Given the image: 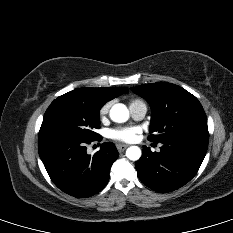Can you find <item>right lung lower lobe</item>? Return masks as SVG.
Wrapping results in <instances>:
<instances>
[{"label":"right lung lower lobe","mask_w":233,"mask_h":233,"mask_svg":"<svg viewBox=\"0 0 233 233\" xmlns=\"http://www.w3.org/2000/svg\"><path fill=\"white\" fill-rule=\"evenodd\" d=\"M93 140L52 135L39 137L40 158L54 184L63 192L87 198L101 191L109 180L118 151L111 142L103 143L93 156L86 145Z\"/></svg>","instance_id":"obj_1"}]
</instances>
